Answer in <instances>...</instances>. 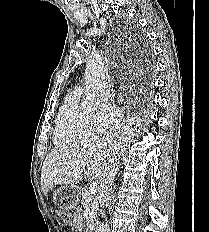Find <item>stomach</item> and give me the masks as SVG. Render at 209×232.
Wrapping results in <instances>:
<instances>
[{"label": "stomach", "mask_w": 209, "mask_h": 232, "mask_svg": "<svg viewBox=\"0 0 209 232\" xmlns=\"http://www.w3.org/2000/svg\"><path fill=\"white\" fill-rule=\"evenodd\" d=\"M82 186H61L55 192L53 203H58V211H71L78 206L80 196L82 195Z\"/></svg>", "instance_id": "1"}]
</instances>
